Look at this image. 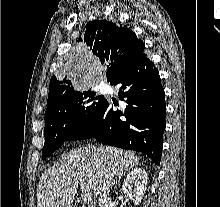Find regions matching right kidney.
<instances>
[{
	"instance_id": "obj_1",
	"label": "right kidney",
	"mask_w": 220,
	"mask_h": 207,
	"mask_svg": "<svg viewBox=\"0 0 220 207\" xmlns=\"http://www.w3.org/2000/svg\"><path fill=\"white\" fill-rule=\"evenodd\" d=\"M147 183V172L142 168H135L126 176L122 185V191L128 199L133 201L135 206H138L146 191Z\"/></svg>"
}]
</instances>
